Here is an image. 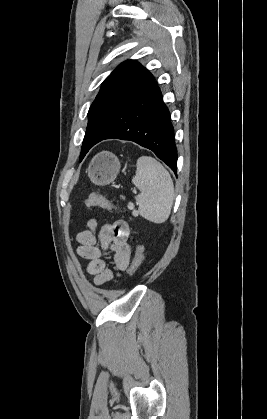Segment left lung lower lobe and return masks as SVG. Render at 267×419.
<instances>
[{"label":"left lung lower lobe","mask_w":267,"mask_h":419,"mask_svg":"<svg viewBox=\"0 0 267 419\" xmlns=\"http://www.w3.org/2000/svg\"><path fill=\"white\" fill-rule=\"evenodd\" d=\"M110 121L111 131L95 140L93 137L89 149L104 139L130 140L153 151L176 173L174 128L155 79L137 94L129 107L113 113Z\"/></svg>","instance_id":"1"}]
</instances>
